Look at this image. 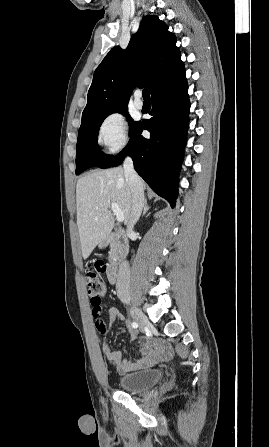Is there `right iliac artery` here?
I'll return each mask as SVG.
<instances>
[{"mask_svg":"<svg viewBox=\"0 0 269 447\" xmlns=\"http://www.w3.org/2000/svg\"><path fill=\"white\" fill-rule=\"evenodd\" d=\"M132 326H133V328H137V327H138V324H137L136 322H133V323H132Z\"/></svg>","mask_w":269,"mask_h":447,"instance_id":"82829eb1","label":"right iliac artery"}]
</instances>
